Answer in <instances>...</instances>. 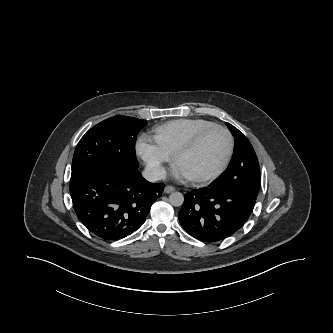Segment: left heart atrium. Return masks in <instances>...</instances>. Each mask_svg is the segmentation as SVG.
Returning a JSON list of instances; mask_svg holds the SVG:
<instances>
[{
	"mask_svg": "<svg viewBox=\"0 0 333 333\" xmlns=\"http://www.w3.org/2000/svg\"><path fill=\"white\" fill-rule=\"evenodd\" d=\"M174 173L177 177L187 178V176L184 174V172L178 166L175 167Z\"/></svg>",
	"mask_w": 333,
	"mask_h": 333,
	"instance_id": "obj_1",
	"label": "left heart atrium"
}]
</instances>
